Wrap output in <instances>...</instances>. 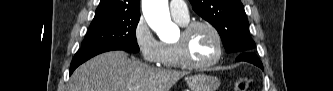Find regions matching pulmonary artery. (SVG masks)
<instances>
[{
	"label": "pulmonary artery",
	"mask_w": 333,
	"mask_h": 91,
	"mask_svg": "<svg viewBox=\"0 0 333 91\" xmlns=\"http://www.w3.org/2000/svg\"><path fill=\"white\" fill-rule=\"evenodd\" d=\"M170 13L175 19L188 20L189 11L184 1H171L170 2Z\"/></svg>",
	"instance_id": "pulmonary-artery-1"
}]
</instances>
